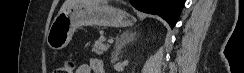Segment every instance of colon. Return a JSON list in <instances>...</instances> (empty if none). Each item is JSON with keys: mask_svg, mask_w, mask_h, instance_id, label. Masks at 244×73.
<instances>
[{"mask_svg": "<svg viewBox=\"0 0 244 73\" xmlns=\"http://www.w3.org/2000/svg\"><path fill=\"white\" fill-rule=\"evenodd\" d=\"M74 62L72 60L64 61L55 71V73H73Z\"/></svg>", "mask_w": 244, "mask_h": 73, "instance_id": "colon-1", "label": "colon"}]
</instances>
